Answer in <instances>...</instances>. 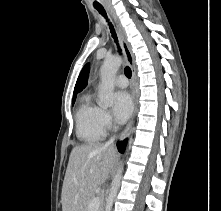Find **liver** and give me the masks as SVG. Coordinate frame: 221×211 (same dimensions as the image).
Here are the masks:
<instances>
[{
	"instance_id": "liver-1",
	"label": "liver",
	"mask_w": 221,
	"mask_h": 211,
	"mask_svg": "<svg viewBox=\"0 0 221 211\" xmlns=\"http://www.w3.org/2000/svg\"><path fill=\"white\" fill-rule=\"evenodd\" d=\"M117 151L99 143L72 149L62 187V211H84L86 199L107 180Z\"/></svg>"
}]
</instances>
